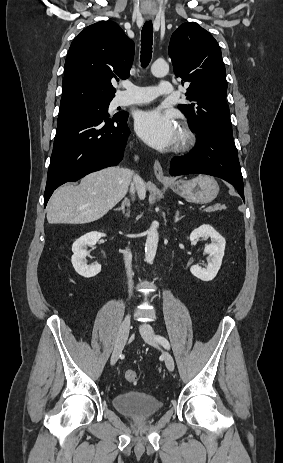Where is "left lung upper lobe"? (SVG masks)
<instances>
[{
	"mask_svg": "<svg viewBox=\"0 0 283 463\" xmlns=\"http://www.w3.org/2000/svg\"><path fill=\"white\" fill-rule=\"evenodd\" d=\"M174 73L189 83L186 99L178 108L197 133H217L233 140L227 82L220 47L214 37L195 22L172 34L169 48Z\"/></svg>",
	"mask_w": 283,
	"mask_h": 463,
	"instance_id": "5c2ea615",
	"label": "left lung upper lobe"
}]
</instances>
